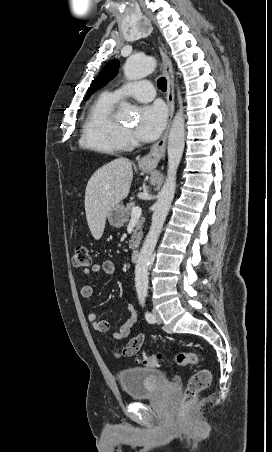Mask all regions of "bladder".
Wrapping results in <instances>:
<instances>
[{
  "instance_id": "obj_1",
  "label": "bladder",
  "mask_w": 272,
  "mask_h": 452,
  "mask_svg": "<svg viewBox=\"0 0 272 452\" xmlns=\"http://www.w3.org/2000/svg\"><path fill=\"white\" fill-rule=\"evenodd\" d=\"M118 379L130 399L148 397L166 384L164 373L152 368H123L118 371Z\"/></svg>"
}]
</instances>
